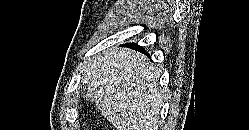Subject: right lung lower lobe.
<instances>
[{
  "label": "right lung lower lobe",
  "instance_id": "right-lung-lower-lobe-1",
  "mask_svg": "<svg viewBox=\"0 0 249 130\" xmlns=\"http://www.w3.org/2000/svg\"><path fill=\"white\" fill-rule=\"evenodd\" d=\"M127 47H130V48H133V49H136L138 51H141V52H144L146 53V51L144 50V48H142L141 46H139L138 44L136 43H128L126 44Z\"/></svg>",
  "mask_w": 249,
  "mask_h": 130
}]
</instances>
